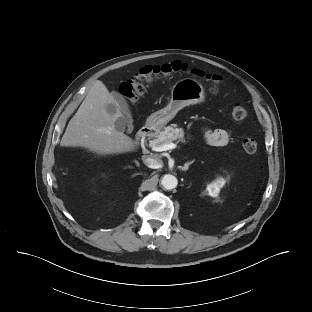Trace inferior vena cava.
Here are the masks:
<instances>
[{
	"instance_id": "1",
	"label": "inferior vena cava",
	"mask_w": 312,
	"mask_h": 312,
	"mask_svg": "<svg viewBox=\"0 0 312 312\" xmlns=\"http://www.w3.org/2000/svg\"><path fill=\"white\" fill-rule=\"evenodd\" d=\"M142 161L147 167L152 168V169H158L162 167L163 165L162 160L158 157L152 158V157L144 155L142 156Z\"/></svg>"
}]
</instances>
